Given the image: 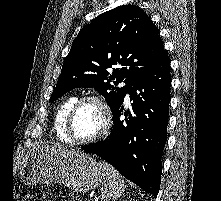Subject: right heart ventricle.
Wrapping results in <instances>:
<instances>
[{
    "mask_svg": "<svg viewBox=\"0 0 221 201\" xmlns=\"http://www.w3.org/2000/svg\"><path fill=\"white\" fill-rule=\"evenodd\" d=\"M77 100L76 96L67 97L58 107L54 117V131L59 140L72 143L66 133V118L72 105Z\"/></svg>",
    "mask_w": 221,
    "mask_h": 201,
    "instance_id": "right-heart-ventricle-1",
    "label": "right heart ventricle"
}]
</instances>
